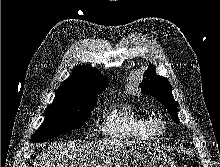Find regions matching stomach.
<instances>
[{"label":"stomach","mask_w":220,"mask_h":167,"mask_svg":"<svg viewBox=\"0 0 220 167\" xmlns=\"http://www.w3.org/2000/svg\"><path fill=\"white\" fill-rule=\"evenodd\" d=\"M114 167H176L174 162L154 145H129Z\"/></svg>","instance_id":"1"}]
</instances>
